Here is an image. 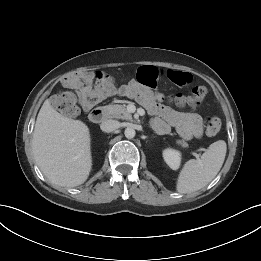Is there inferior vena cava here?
<instances>
[{
    "label": "inferior vena cava",
    "mask_w": 261,
    "mask_h": 261,
    "mask_svg": "<svg viewBox=\"0 0 261 261\" xmlns=\"http://www.w3.org/2000/svg\"><path fill=\"white\" fill-rule=\"evenodd\" d=\"M119 127H120V122L111 119L102 122L100 125L101 130L107 133L113 132Z\"/></svg>",
    "instance_id": "inferior-vena-cava-1"
}]
</instances>
